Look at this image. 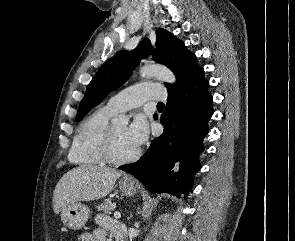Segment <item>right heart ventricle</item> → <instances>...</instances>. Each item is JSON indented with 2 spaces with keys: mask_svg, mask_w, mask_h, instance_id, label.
<instances>
[{
  "mask_svg": "<svg viewBox=\"0 0 295 241\" xmlns=\"http://www.w3.org/2000/svg\"><path fill=\"white\" fill-rule=\"evenodd\" d=\"M115 112L104 106L89 115L79 126L69 151V161L77 166L92 167L103 164L101 145Z\"/></svg>",
  "mask_w": 295,
  "mask_h": 241,
  "instance_id": "1",
  "label": "right heart ventricle"
}]
</instances>
